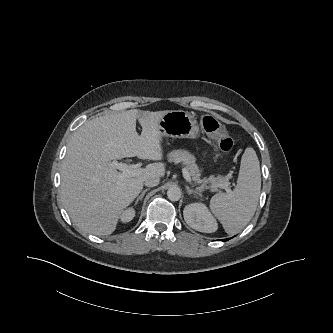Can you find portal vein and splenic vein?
I'll return each instance as SVG.
<instances>
[{"instance_id":"portal-vein-and-splenic-vein-1","label":"portal vein and splenic vein","mask_w":333,"mask_h":333,"mask_svg":"<svg viewBox=\"0 0 333 333\" xmlns=\"http://www.w3.org/2000/svg\"><path fill=\"white\" fill-rule=\"evenodd\" d=\"M109 167L118 169L122 171L121 177H135L141 174L142 169L138 168L136 165H131L127 163H119L117 161H112L108 163ZM183 176L185 180L189 183H191V177L189 175V172L186 169H183ZM211 187L207 186L206 189H210ZM223 189H225L227 192H230L231 190L228 188V185L225 184Z\"/></svg>"}]
</instances>
